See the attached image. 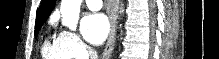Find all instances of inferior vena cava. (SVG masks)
<instances>
[{
    "label": "inferior vena cava",
    "mask_w": 219,
    "mask_h": 59,
    "mask_svg": "<svg viewBox=\"0 0 219 59\" xmlns=\"http://www.w3.org/2000/svg\"><path fill=\"white\" fill-rule=\"evenodd\" d=\"M89 52H90L91 59H98V53L96 50H94L93 48H90Z\"/></svg>",
    "instance_id": "1"
}]
</instances>
